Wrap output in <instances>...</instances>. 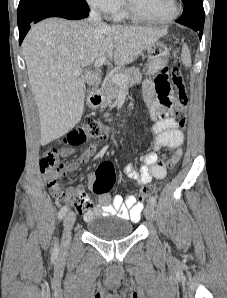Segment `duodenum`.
<instances>
[{
    "instance_id": "duodenum-1",
    "label": "duodenum",
    "mask_w": 227,
    "mask_h": 298,
    "mask_svg": "<svg viewBox=\"0 0 227 298\" xmlns=\"http://www.w3.org/2000/svg\"><path fill=\"white\" fill-rule=\"evenodd\" d=\"M103 101V96L100 90H93L89 95V105L98 107Z\"/></svg>"
}]
</instances>
